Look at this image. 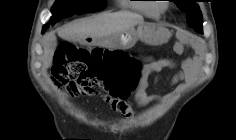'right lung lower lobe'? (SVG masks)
I'll use <instances>...</instances> for the list:
<instances>
[{
	"label": "right lung lower lobe",
	"mask_w": 236,
	"mask_h": 140,
	"mask_svg": "<svg viewBox=\"0 0 236 140\" xmlns=\"http://www.w3.org/2000/svg\"><path fill=\"white\" fill-rule=\"evenodd\" d=\"M45 30H46V29H43V31H42V32L44 33V32H45Z\"/></svg>",
	"instance_id": "98d812e1"
}]
</instances>
